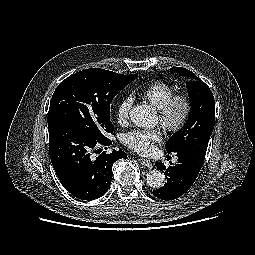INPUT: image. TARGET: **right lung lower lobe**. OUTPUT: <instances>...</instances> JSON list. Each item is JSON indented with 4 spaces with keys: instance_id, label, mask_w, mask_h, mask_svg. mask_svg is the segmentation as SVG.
<instances>
[{
    "instance_id": "obj_1",
    "label": "right lung lower lobe",
    "mask_w": 255,
    "mask_h": 255,
    "mask_svg": "<svg viewBox=\"0 0 255 255\" xmlns=\"http://www.w3.org/2000/svg\"><path fill=\"white\" fill-rule=\"evenodd\" d=\"M111 144L107 137L95 139L66 124L49 127L51 162L68 192L82 200H94L107 192L113 163L127 155L124 151L113 150L110 154L103 152L93 160L90 150L97 145Z\"/></svg>"
}]
</instances>
